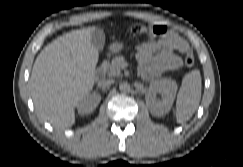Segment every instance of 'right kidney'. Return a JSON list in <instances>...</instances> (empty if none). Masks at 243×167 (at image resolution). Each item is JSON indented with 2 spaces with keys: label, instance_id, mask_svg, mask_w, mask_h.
I'll return each mask as SVG.
<instances>
[{
  "label": "right kidney",
  "instance_id": "obj_1",
  "mask_svg": "<svg viewBox=\"0 0 243 167\" xmlns=\"http://www.w3.org/2000/svg\"><path fill=\"white\" fill-rule=\"evenodd\" d=\"M100 100L101 96L97 93L84 96L77 105L79 114L84 115L91 113L98 106Z\"/></svg>",
  "mask_w": 243,
  "mask_h": 167
}]
</instances>
